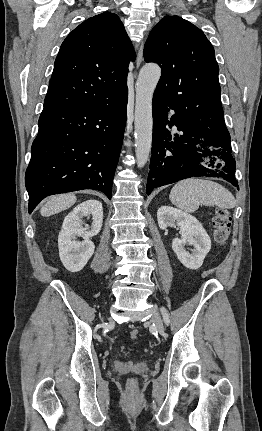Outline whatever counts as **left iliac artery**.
Here are the masks:
<instances>
[{
    "label": "left iliac artery",
    "mask_w": 262,
    "mask_h": 431,
    "mask_svg": "<svg viewBox=\"0 0 262 431\" xmlns=\"http://www.w3.org/2000/svg\"><path fill=\"white\" fill-rule=\"evenodd\" d=\"M161 312H162V316H163L165 323L168 325L170 322L168 311L165 308H161Z\"/></svg>",
    "instance_id": "1"
}]
</instances>
